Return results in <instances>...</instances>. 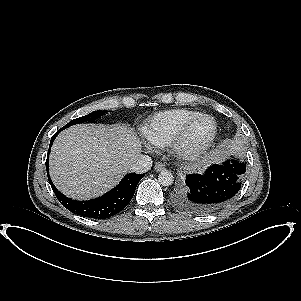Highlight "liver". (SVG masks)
Masks as SVG:
<instances>
[{
    "instance_id": "liver-1",
    "label": "liver",
    "mask_w": 301,
    "mask_h": 301,
    "mask_svg": "<svg viewBox=\"0 0 301 301\" xmlns=\"http://www.w3.org/2000/svg\"><path fill=\"white\" fill-rule=\"evenodd\" d=\"M140 152L139 138L124 125H75L52 145L50 176L64 195L91 199L116 186Z\"/></svg>"
}]
</instances>
